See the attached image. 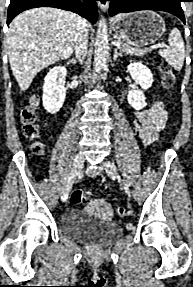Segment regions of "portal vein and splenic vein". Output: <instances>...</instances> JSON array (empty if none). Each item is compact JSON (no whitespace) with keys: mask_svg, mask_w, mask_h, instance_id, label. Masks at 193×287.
<instances>
[{"mask_svg":"<svg viewBox=\"0 0 193 287\" xmlns=\"http://www.w3.org/2000/svg\"><path fill=\"white\" fill-rule=\"evenodd\" d=\"M113 44L117 47H121V43L119 41H114ZM153 47L154 48H163V47H167V46L164 44H159V45H155Z\"/></svg>","mask_w":193,"mask_h":287,"instance_id":"portal-vein-and-splenic-vein-1","label":"portal vein and splenic vein"}]
</instances>
